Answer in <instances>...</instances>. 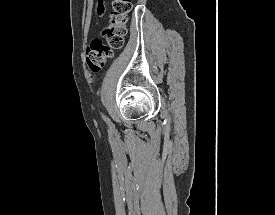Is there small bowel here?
<instances>
[{
    "mask_svg": "<svg viewBox=\"0 0 275 215\" xmlns=\"http://www.w3.org/2000/svg\"><path fill=\"white\" fill-rule=\"evenodd\" d=\"M105 9H106L105 0H97V6L95 11L96 18L103 16Z\"/></svg>",
    "mask_w": 275,
    "mask_h": 215,
    "instance_id": "1",
    "label": "small bowel"
}]
</instances>
